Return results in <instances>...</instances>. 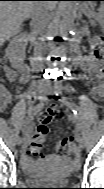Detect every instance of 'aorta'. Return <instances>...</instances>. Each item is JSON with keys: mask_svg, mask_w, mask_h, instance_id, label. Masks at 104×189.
Instances as JSON below:
<instances>
[{"mask_svg": "<svg viewBox=\"0 0 104 189\" xmlns=\"http://www.w3.org/2000/svg\"><path fill=\"white\" fill-rule=\"evenodd\" d=\"M78 2L63 1L61 6V22L59 25L60 36H65L68 31L72 30L77 16ZM60 75V74H59ZM59 78H61L59 76ZM57 82H62V79H57Z\"/></svg>", "mask_w": 104, "mask_h": 189, "instance_id": "obj_1", "label": "aorta"}]
</instances>
